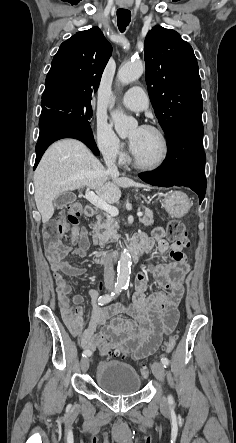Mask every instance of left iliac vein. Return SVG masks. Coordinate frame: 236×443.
<instances>
[{
    "mask_svg": "<svg viewBox=\"0 0 236 443\" xmlns=\"http://www.w3.org/2000/svg\"><path fill=\"white\" fill-rule=\"evenodd\" d=\"M151 369H152V372H153L154 376L156 377V379L159 382H163L164 378H165V369H164L163 364H161L159 362H154L151 365ZM161 409L163 411L166 410V402L164 399H162V401H161Z\"/></svg>",
    "mask_w": 236,
    "mask_h": 443,
    "instance_id": "left-iliac-vein-1",
    "label": "left iliac vein"
}]
</instances>
